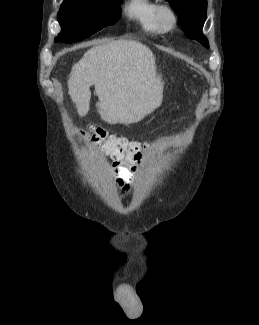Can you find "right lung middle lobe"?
Masks as SVG:
<instances>
[{
	"mask_svg": "<svg viewBox=\"0 0 259 325\" xmlns=\"http://www.w3.org/2000/svg\"><path fill=\"white\" fill-rule=\"evenodd\" d=\"M122 0H64L57 14L62 28L55 42L83 40L118 19Z\"/></svg>",
	"mask_w": 259,
	"mask_h": 325,
	"instance_id": "right-lung-middle-lobe-1",
	"label": "right lung middle lobe"
}]
</instances>
